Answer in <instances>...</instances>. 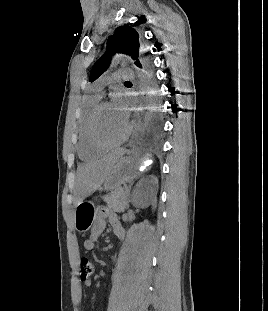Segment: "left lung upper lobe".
<instances>
[{"label": "left lung upper lobe", "mask_w": 268, "mask_h": 311, "mask_svg": "<svg viewBox=\"0 0 268 311\" xmlns=\"http://www.w3.org/2000/svg\"><path fill=\"white\" fill-rule=\"evenodd\" d=\"M116 53L129 55L135 61L136 66L140 65L142 55L140 54L139 34L134 28L127 25L120 26L108 38L107 51L94 64L90 73V82L96 80L108 69L112 56Z\"/></svg>", "instance_id": "1"}]
</instances>
